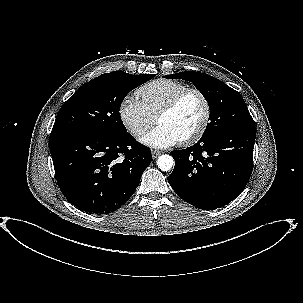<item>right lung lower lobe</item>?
I'll return each instance as SVG.
<instances>
[{
    "instance_id": "right-lung-lower-lobe-1",
    "label": "right lung lower lobe",
    "mask_w": 303,
    "mask_h": 303,
    "mask_svg": "<svg viewBox=\"0 0 303 303\" xmlns=\"http://www.w3.org/2000/svg\"><path fill=\"white\" fill-rule=\"evenodd\" d=\"M49 148L63 195L77 208L98 215L126 203L151 163L150 149L129 133L55 134Z\"/></svg>"
}]
</instances>
